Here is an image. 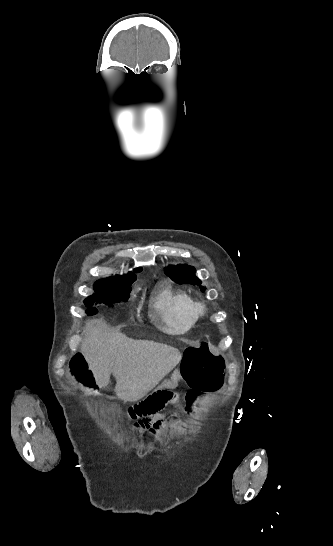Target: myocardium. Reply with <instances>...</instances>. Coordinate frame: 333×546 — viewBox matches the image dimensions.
Wrapping results in <instances>:
<instances>
[{"mask_svg":"<svg viewBox=\"0 0 333 546\" xmlns=\"http://www.w3.org/2000/svg\"><path fill=\"white\" fill-rule=\"evenodd\" d=\"M193 312L196 318L202 317L206 313V306L201 302H194Z\"/></svg>","mask_w":333,"mask_h":546,"instance_id":"f54148a6","label":"myocardium"}]
</instances>
